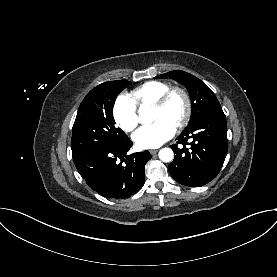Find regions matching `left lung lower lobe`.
Wrapping results in <instances>:
<instances>
[{
    "mask_svg": "<svg viewBox=\"0 0 277 277\" xmlns=\"http://www.w3.org/2000/svg\"><path fill=\"white\" fill-rule=\"evenodd\" d=\"M188 139L192 142L188 143ZM177 140V144L171 146L175 158L168 166L172 177L189 187H200L213 180L222 168L228 149L222 108L207 113L185 129ZM178 144L183 147L178 148Z\"/></svg>",
    "mask_w": 277,
    "mask_h": 277,
    "instance_id": "obj_1",
    "label": "left lung lower lobe"
}]
</instances>
